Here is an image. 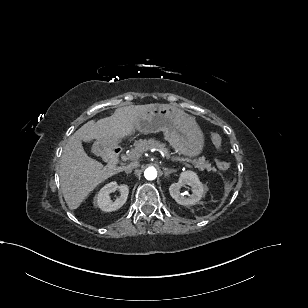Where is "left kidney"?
I'll return each mask as SVG.
<instances>
[{
  "label": "left kidney",
  "mask_w": 308,
  "mask_h": 308,
  "mask_svg": "<svg viewBox=\"0 0 308 308\" xmlns=\"http://www.w3.org/2000/svg\"><path fill=\"white\" fill-rule=\"evenodd\" d=\"M189 185L192 190V194L189 197H184L180 193L181 187ZM171 197L181 205H195L198 203L205 194L204 186L199 181L196 173L192 171H186L181 173L179 181L171 184L169 187Z\"/></svg>",
  "instance_id": "obj_1"
}]
</instances>
